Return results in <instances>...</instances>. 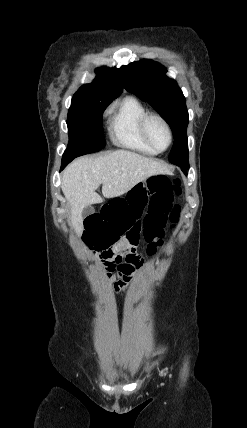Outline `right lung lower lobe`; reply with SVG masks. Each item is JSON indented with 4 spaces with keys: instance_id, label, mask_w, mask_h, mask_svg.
I'll return each mask as SVG.
<instances>
[{
    "instance_id": "obj_1",
    "label": "right lung lower lobe",
    "mask_w": 247,
    "mask_h": 428,
    "mask_svg": "<svg viewBox=\"0 0 247 428\" xmlns=\"http://www.w3.org/2000/svg\"><path fill=\"white\" fill-rule=\"evenodd\" d=\"M75 157H71V158H63L62 159V165H61V170H63Z\"/></svg>"
}]
</instances>
